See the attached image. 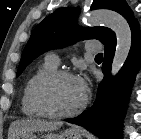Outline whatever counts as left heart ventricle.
<instances>
[{
    "mask_svg": "<svg viewBox=\"0 0 141 139\" xmlns=\"http://www.w3.org/2000/svg\"><path fill=\"white\" fill-rule=\"evenodd\" d=\"M84 97L82 83L75 78L57 80L49 90V99L56 111L65 112L77 107Z\"/></svg>",
    "mask_w": 141,
    "mask_h": 139,
    "instance_id": "b2bd125f",
    "label": "left heart ventricle"
}]
</instances>
